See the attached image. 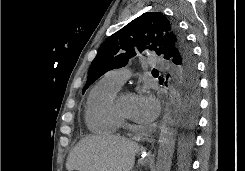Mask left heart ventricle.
<instances>
[{"label": "left heart ventricle", "instance_id": "obj_1", "mask_svg": "<svg viewBox=\"0 0 245 171\" xmlns=\"http://www.w3.org/2000/svg\"><path fill=\"white\" fill-rule=\"evenodd\" d=\"M133 101L134 95L132 94H123L117 101L119 110L130 118L132 117Z\"/></svg>", "mask_w": 245, "mask_h": 171}]
</instances>
